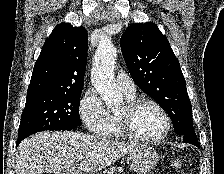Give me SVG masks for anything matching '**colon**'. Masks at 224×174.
<instances>
[{"label": "colon", "mask_w": 224, "mask_h": 174, "mask_svg": "<svg viewBox=\"0 0 224 174\" xmlns=\"http://www.w3.org/2000/svg\"><path fill=\"white\" fill-rule=\"evenodd\" d=\"M183 167V164L181 162V160L179 159H172L171 162H170V168L173 170V171H180Z\"/></svg>", "instance_id": "1"}]
</instances>
